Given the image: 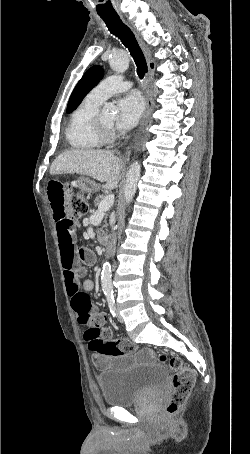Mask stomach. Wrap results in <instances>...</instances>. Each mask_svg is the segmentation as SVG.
I'll return each mask as SVG.
<instances>
[{"label": "stomach", "instance_id": "0dacf381", "mask_svg": "<svg viewBox=\"0 0 250 454\" xmlns=\"http://www.w3.org/2000/svg\"><path fill=\"white\" fill-rule=\"evenodd\" d=\"M47 184H49V183H47ZM81 187L85 191H88V192H94V191H97V189H98V186L94 182L87 180V179L84 180V183L82 184Z\"/></svg>", "mask_w": 250, "mask_h": 454}]
</instances>
